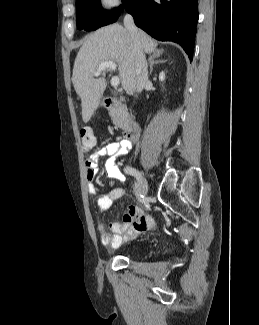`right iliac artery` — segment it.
I'll return each mask as SVG.
<instances>
[{
	"instance_id": "1",
	"label": "right iliac artery",
	"mask_w": 259,
	"mask_h": 325,
	"mask_svg": "<svg viewBox=\"0 0 259 325\" xmlns=\"http://www.w3.org/2000/svg\"><path fill=\"white\" fill-rule=\"evenodd\" d=\"M124 172L126 174L132 175V176H136L138 174V171L130 166H127L124 168ZM137 194V192H135Z\"/></svg>"
}]
</instances>
